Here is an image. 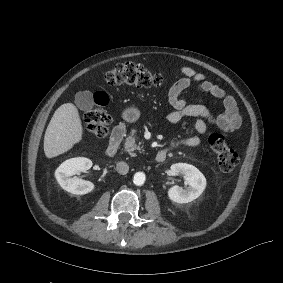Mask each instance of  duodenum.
<instances>
[{
    "mask_svg": "<svg viewBox=\"0 0 283 283\" xmlns=\"http://www.w3.org/2000/svg\"><path fill=\"white\" fill-rule=\"evenodd\" d=\"M124 136H125V127L123 125H118L113 129L110 137L109 146L107 148V156L109 158H112L117 154ZM166 156H167V149H161L156 153L155 160L156 162L159 163L163 162L165 161Z\"/></svg>",
    "mask_w": 283,
    "mask_h": 283,
    "instance_id": "410a0bca",
    "label": "duodenum"
}]
</instances>
